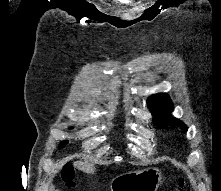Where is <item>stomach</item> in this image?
I'll use <instances>...</instances> for the list:
<instances>
[{
	"label": "stomach",
	"instance_id": "obj_1",
	"mask_svg": "<svg viewBox=\"0 0 221 191\" xmlns=\"http://www.w3.org/2000/svg\"><path fill=\"white\" fill-rule=\"evenodd\" d=\"M162 175L157 168L131 171L114 178L111 191H157Z\"/></svg>",
	"mask_w": 221,
	"mask_h": 191
}]
</instances>
